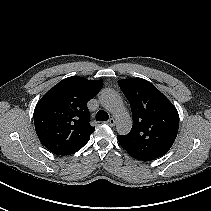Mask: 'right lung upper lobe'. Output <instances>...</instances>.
Returning <instances> with one entry per match:
<instances>
[{"mask_svg": "<svg viewBox=\"0 0 211 211\" xmlns=\"http://www.w3.org/2000/svg\"><path fill=\"white\" fill-rule=\"evenodd\" d=\"M102 80L80 76L63 79L37 103L34 124L40 142L56 155H71L90 139L87 102L101 89Z\"/></svg>", "mask_w": 211, "mask_h": 211, "instance_id": "cb5924a9", "label": "right lung upper lobe"}]
</instances>
